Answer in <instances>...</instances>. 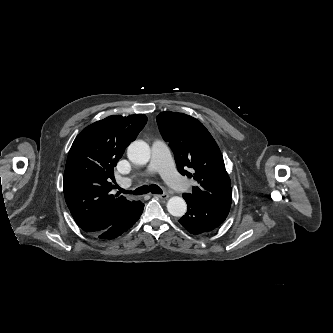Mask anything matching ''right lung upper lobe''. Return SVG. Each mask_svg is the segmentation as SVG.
I'll return each instance as SVG.
<instances>
[{
	"instance_id": "right-lung-upper-lobe-1",
	"label": "right lung upper lobe",
	"mask_w": 333,
	"mask_h": 333,
	"mask_svg": "<svg viewBox=\"0 0 333 333\" xmlns=\"http://www.w3.org/2000/svg\"><path fill=\"white\" fill-rule=\"evenodd\" d=\"M147 122L145 114L112 115L79 133L68 153L63 189L65 201L85 232L96 234L137 207V201L111 194L114 167L125 148Z\"/></svg>"
}]
</instances>
